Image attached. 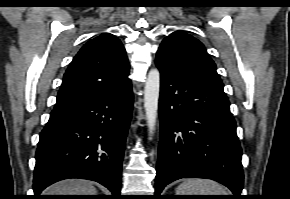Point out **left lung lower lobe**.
Returning a JSON list of instances; mask_svg holds the SVG:
<instances>
[{
    "label": "left lung lower lobe",
    "instance_id": "left-lung-lower-lobe-1",
    "mask_svg": "<svg viewBox=\"0 0 290 199\" xmlns=\"http://www.w3.org/2000/svg\"><path fill=\"white\" fill-rule=\"evenodd\" d=\"M156 65L161 74L156 196L177 179L207 178L240 199L242 152L223 87L177 69L159 52Z\"/></svg>",
    "mask_w": 290,
    "mask_h": 199
}]
</instances>
